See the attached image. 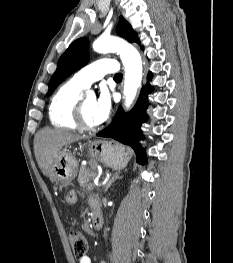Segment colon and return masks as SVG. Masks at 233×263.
<instances>
[{
	"label": "colon",
	"instance_id": "1",
	"mask_svg": "<svg viewBox=\"0 0 233 263\" xmlns=\"http://www.w3.org/2000/svg\"><path fill=\"white\" fill-rule=\"evenodd\" d=\"M69 240L74 257L78 260L84 258L88 251V242L86 237L80 231L71 230L69 232Z\"/></svg>",
	"mask_w": 233,
	"mask_h": 263
}]
</instances>
